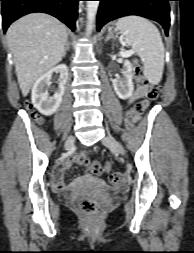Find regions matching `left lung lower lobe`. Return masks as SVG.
Wrapping results in <instances>:
<instances>
[{"label":"left lung lower lobe","mask_w":194,"mask_h":253,"mask_svg":"<svg viewBox=\"0 0 194 253\" xmlns=\"http://www.w3.org/2000/svg\"><path fill=\"white\" fill-rule=\"evenodd\" d=\"M97 30L114 19L139 15L159 22L168 35L170 17L169 1L172 0H99Z\"/></svg>","instance_id":"left-lung-lower-lobe-1"}]
</instances>
